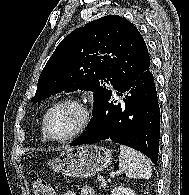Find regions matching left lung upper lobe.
<instances>
[{
    "instance_id": "obj_1",
    "label": "left lung upper lobe",
    "mask_w": 189,
    "mask_h": 195,
    "mask_svg": "<svg viewBox=\"0 0 189 195\" xmlns=\"http://www.w3.org/2000/svg\"><path fill=\"white\" fill-rule=\"evenodd\" d=\"M150 66V57L138 29L118 15H108L71 32L56 47L40 74L32 102L59 92H94L93 115L112 91Z\"/></svg>"
}]
</instances>
